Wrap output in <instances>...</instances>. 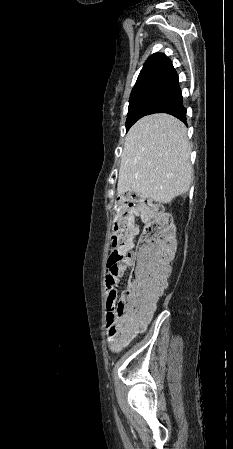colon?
I'll list each match as a JSON object with an SVG mask.
<instances>
[{"label": "colon", "instance_id": "5ec220e1", "mask_svg": "<svg viewBox=\"0 0 233 449\" xmlns=\"http://www.w3.org/2000/svg\"><path fill=\"white\" fill-rule=\"evenodd\" d=\"M115 210L109 263L131 258L133 264L123 300L107 315L108 337L118 348L132 340L138 325L154 309L165 288L176 244L171 220L162 204L124 194L115 202ZM136 218L142 230L133 251Z\"/></svg>", "mask_w": 233, "mask_h": 449}]
</instances>
